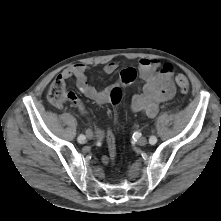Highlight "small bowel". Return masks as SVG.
Returning a JSON list of instances; mask_svg holds the SVG:
<instances>
[{
    "mask_svg": "<svg viewBox=\"0 0 221 221\" xmlns=\"http://www.w3.org/2000/svg\"><path fill=\"white\" fill-rule=\"evenodd\" d=\"M118 68L117 63L109 62L103 67L104 74H112ZM87 65L83 63L74 64L64 69L55 80L65 83L71 77L76 79L78 91L86 98L97 104L111 103V90L118 84H112L103 89L92 86L87 79ZM139 77L143 81L140 91L131 98L130 107L134 112H142L149 117H154L159 110L161 103L171 100L176 92L173 82L172 72L160 70V63L157 60L143 58L140 59L137 68L129 67L124 69L120 75V83L131 84ZM81 112L86 113V109L81 102L77 104L71 102ZM103 164H108L112 156L104 155L101 158Z\"/></svg>",
    "mask_w": 221,
    "mask_h": 221,
    "instance_id": "obj_1",
    "label": "small bowel"
}]
</instances>
